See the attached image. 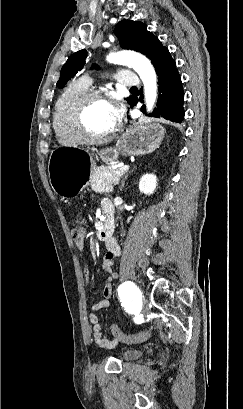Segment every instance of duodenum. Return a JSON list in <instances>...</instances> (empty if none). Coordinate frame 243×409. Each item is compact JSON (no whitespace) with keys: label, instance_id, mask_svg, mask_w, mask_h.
Segmentation results:
<instances>
[{"label":"duodenum","instance_id":"1","mask_svg":"<svg viewBox=\"0 0 243 409\" xmlns=\"http://www.w3.org/2000/svg\"><path fill=\"white\" fill-rule=\"evenodd\" d=\"M106 218L105 220L98 225L97 227V238L100 240H108L112 238L114 231V217L113 212L109 209H105Z\"/></svg>","mask_w":243,"mask_h":409}]
</instances>
